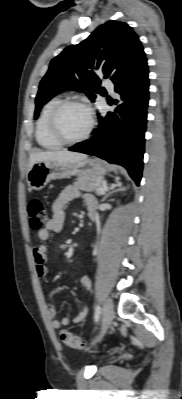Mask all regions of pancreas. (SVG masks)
Masks as SVG:
<instances>
[{
	"label": "pancreas",
	"instance_id": "obj_1",
	"mask_svg": "<svg viewBox=\"0 0 182 399\" xmlns=\"http://www.w3.org/2000/svg\"><path fill=\"white\" fill-rule=\"evenodd\" d=\"M102 183L103 179L99 177L80 176L75 180L74 186L82 191H95L97 195H100L98 188L102 187Z\"/></svg>",
	"mask_w": 182,
	"mask_h": 399
}]
</instances>
